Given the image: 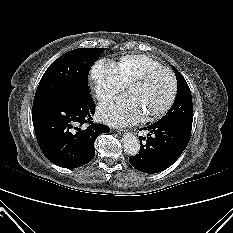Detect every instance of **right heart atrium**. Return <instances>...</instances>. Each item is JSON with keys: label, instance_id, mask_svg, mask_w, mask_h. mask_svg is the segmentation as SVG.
I'll list each match as a JSON object with an SVG mask.
<instances>
[{"label": "right heart atrium", "instance_id": "d8ad5b80", "mask_svg": "<svg viewBox=\"0 0 233 233\" xmlns=\"http://www.w3.org/2000/svg\"><path fill=\"white\" fill-rule=\"evenodd\" d=\"M90 77L96 97L100 101L111 98L125 87L117 67L112 62L104 59L98 60L93 65Z\"/></svg>", "mask_w": 233, "mask_h": 233}]
</instances>
